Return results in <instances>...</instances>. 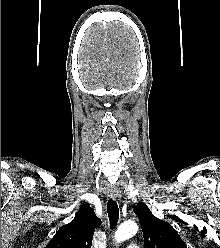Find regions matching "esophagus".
Instances as JSON below:
<instances>
[{
	"label": "esophagus",
	"instance_id": "34e87169",
	"mask_svg": "<svg viewBox=\"0 0 220 248\" xmlns=\"http://www.w3.org/2000/svg\"><path fill=\"white\" fill-rule=\"evenodd\" d=\"M108 196L112 200H120V198H121L119 190L117 188H115V187H110L109 188Z\"/></svg>",
	"mask_w": 220,
	"mask_h": 248
}]
</instances>
